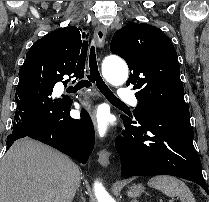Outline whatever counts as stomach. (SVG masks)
Here are the masks:
<instances>
[{
    "instance_id": "1",
    "label": "stomach",
    "mask_w": 209,
    "mask_h": 202,
    "mask_svg": "<svg viewBox=\"0 0 209 202\" xmlns=\"http://www.w3.org/2000/svg\"><path fill=\"white\" fill-rule=\"evenodd\" d=\"M142 191H143V187L141 185H134L129 189L127 194L131 197H137L141 194Z\"/></svg>"
}]
</instances>
